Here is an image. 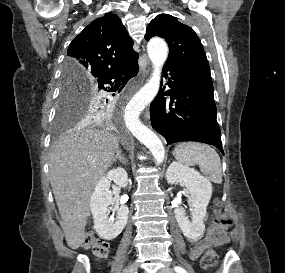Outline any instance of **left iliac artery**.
<instances>
[{"mask_svg":"<svg viewBox=\"0 0 285 273\" xmlns=\"http://www.w3.org/2000/svg\"><path fill=\"white\" fill-rule=\"evenodd\" d=\"M174 270H175L177 273H187L186 270H185L183 267H180V266H175V267H174Z\"/></svg>","mask_w":285,"mask_h":273,"instance_id":"obj_1","label":"left iliac artery"}]
</instances>
